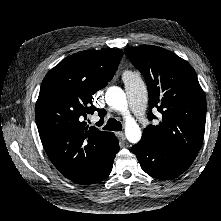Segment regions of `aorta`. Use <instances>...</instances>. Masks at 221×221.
I'll return each mask as SVG.
<instances>
[{"instance_id": "762f6f07", "label": "aorta", "mask_w": 221, "mask_h": 221, "mask_svg": "<svg viewBox=\"0 0 221 221\" xmlns=\"http://www.w3.org/2000/svg\"><path fill=\"white\" fill-rule=\"evenodd\" d=\"M105 100L109 107L123 114L127 140L134 144L139 142L142 132L137 122L128 112V103L124 91L117 86L108 87L105 93Z\"/></svg>"}]
</instances>
